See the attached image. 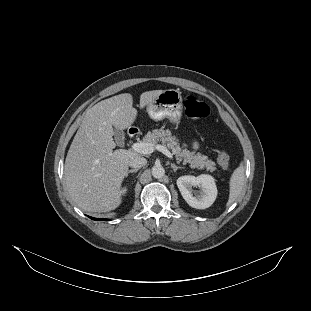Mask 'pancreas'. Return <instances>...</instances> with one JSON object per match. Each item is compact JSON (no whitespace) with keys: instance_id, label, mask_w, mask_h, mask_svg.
Instances as JSON below:
<instances>
[{"instance_id":"pancreas-1","label":"pancreas","mask_w":311,"mask_h":311,"mask_svg":"<svg viewBox=\"0 0 311 311\" xmlns=\"http://www.w3.org/2000/svg\"><path fill=\"white\" fill-rule=\"evenodd\" d=\"M144 142L153 147L162 145L169 148L176 155L178 161L183 164H190L191 169L217 172V177H221L220 170L217 169L212 159L195 151L187 150L180 144L179 138L173 135L170 130L148 132Z\"/></svg>"}]
</instances>
